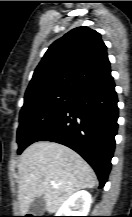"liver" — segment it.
<instances>
[{
    "label": "liver",
    "mask_w": 132,
    "mask_h": 217,
    "mask_svg": "<svg viewBox=\"0 0 132 217\" xmlns=\"http://www.w3.org/2000/svg\"><path fill=\"white\" fill-rule=\"evenodd\" d=\"M18 172L21 216L28 213L37 197L43 196L45 210L54 213L76 191L97 185L93 169L79 154L49 141L35 142L26 148L20 157ZM51 181L57 186H52Z\"/></svg>",
    "instance_id": "liver-1"
}]
</instances>
